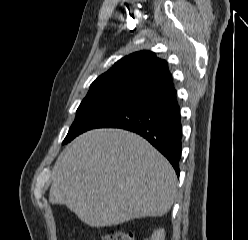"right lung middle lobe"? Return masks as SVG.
Segmentation results:
<instances>
[{"label":"right lung middle lobe","instance_id":"1","mask_svg":"<svg viewBox=\"0 0 248 240\" xmlns=\"http://www.w3.org/2000/svg\"><path fill=\"white\" fill-rule=\"evenodd\" d=\"M138 101L135 97L110 90L88 92L76 111V118L63 144L70 142L77 135L91 129L95 124L117 110Z\"/></svg>","mask_w":248,"mask_h":240}]
</instances>
